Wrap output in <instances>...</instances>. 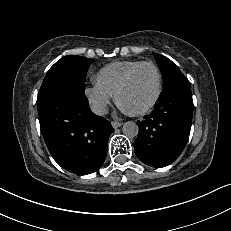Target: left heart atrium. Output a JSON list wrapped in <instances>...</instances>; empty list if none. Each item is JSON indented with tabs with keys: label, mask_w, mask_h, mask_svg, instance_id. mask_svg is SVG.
I'll return each instance as SVG.
<instances>
[{
	"label": "left heart atrium",
	"mask_w": 231,
	"mask_h": 231,
	"mask_svg": "<svg viewBox=\"0 0 231 231\" xmlns=\"http://www.w3.org/2000/svg\"><path fill=\"white\" fill-rule=\"evenodd\" d=\"M120 109L124 112H129L128 110H126L125 108H123L121 105H120Z\"/></svg>",
	"instance_id": "39dd6f15"
}]
</instances>
